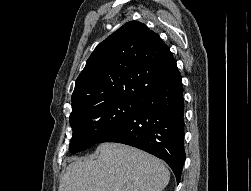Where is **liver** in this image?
<instances>
[{
    "instance_id": "liver-1",
    "label": "liver",
    "mask_w": 251,
    "mask_h": 191,
    "mask_svg": "<svg viewBox=\"0 0 251 191\" xmlns=\"http://www.w3.org/2000/svg\"><path fill=\"white\" fill-rule=\"evenodd\" d=\"M97 159L75 157L58 191H162L170 173L164 161L124 143H101Z\"/></svg>"
}]
</instances>
